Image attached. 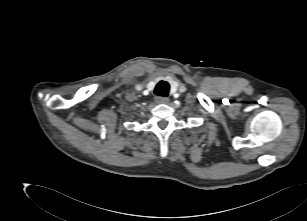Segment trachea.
Returning a JSON list of instances; mask_svg holds the SVG:
<instances>
[{"label":"trachea","mask_w":307,"mask_h":221,"mask_svg":"<svg viewBox=\"0 0 307 221\" xmlns=\"http://www.w3.org/2000/svg\"><path fill=\"white\" fill-rule=\"evenodd\" d=\"M170 85L166 81H160L155 87V94L158 96L166 97L168 96Z\"/></svg>","instance_id":"3493384b"}]
</instances>
